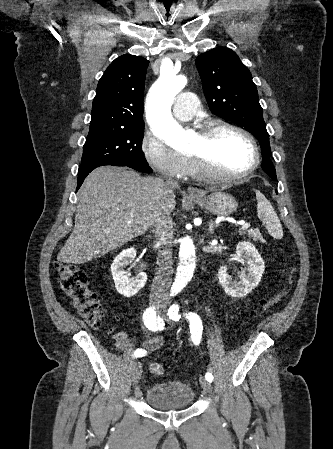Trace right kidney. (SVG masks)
<instances>
[{"instance_id": "right-kidney-1", "label": "right kidney", "mask_w": 333, "mask_h": 449, "mask_svg": "<svg viewBox=\"0 0 333 449\" xmlns=\"http://www.w3.org/2000/svg\"><path fill=\"white\" fill-rule=\"evenodd\" d=\"M136 256L134 248H128L119 253L111 264V273L115 283V288L124 297H133L140 289H142L147 281V274L139 272L137 276L131 279L128 272L125 271L126 266L132 263Z\"/></svg>"}]
</instances>
